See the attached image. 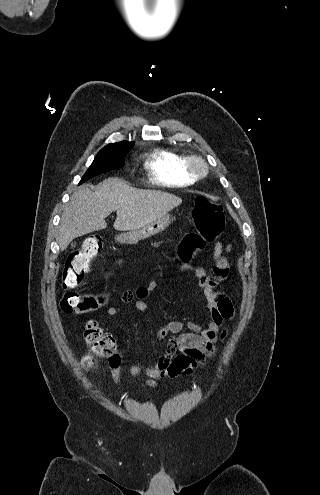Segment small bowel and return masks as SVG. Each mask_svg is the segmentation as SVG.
I'll return each mask as SVG.
<instances>
[{"mask_svg": "<svg viewBox=\"0 0 320 495\" xmlns=\"http://www.w3.org/2000/svg\"><path fill=\"white\" fill-rule=\"evenodd\" d=\"M230 246L224 248L222 242L218 241L213 247V260L210 273L201 267L182 265L180 270L190 271L203 288L206 298V310L209 320L206 327L195 322L170 321L155 332L157 342L167 340V348L155 367H144L140 360L136 361L130 368L132 376L144 374L149 377L144 382L147 387L156 386V378H175L190 374L205 360L211 358L216 352V342L225 338L227 329L223 327L226 320L231 319L234 310L231 301L217 288L214 283L224 279L228 273L229 260L226 254ZM157 289L156 282H150L146 286L139 287L135 292L126 290L122 293V301L131 303L136 295L134 306L138 311H146L148 305L146 298ZM120 309L109 307L107 314L111 317L118 316ZM180 353L179 355H176ZM111 364L112 378L116 384L121 382L120 358Z\"/></svg>", "mask_w": 320, "mask_h": 495, "instance_id": "obj_1", "label": "small bowel"}]
</instances>
